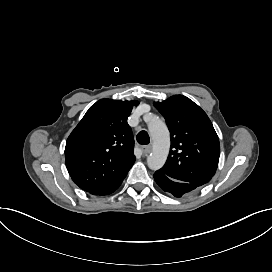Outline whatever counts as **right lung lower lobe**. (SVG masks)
Listing matches in <instances>:
<instances>
[{
  "label": "right lung lower lobe",
  "mask_w": 272,
  "mask_h": 272,
  "mask_svg": "<svg viewBox=\"0 0 272 272\" xmlns=\"http://www.w3.org/2000/svg\"><path fill=\"white\" fill-rule=\"evenodd\" d=\"M126 175L122 179H120L117 183H115L114 185H112L108 188L101 189L98 191L89 192V193L93 194V195H98V196L109 195L119 188V186L121 185V183L124 180V178L126 177Z\"/></svg>",
  "instance_id": "obj_1"
}]
</instances>
